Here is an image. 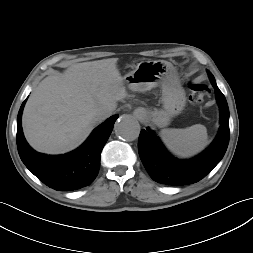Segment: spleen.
<instances>
[{"mask_svg": "<svg viewBox=\"0 0 253 253\" xmlns=\"http://www.w3.org/2000/svg\"><path fill=\"white\" fill-rule=\"evenodd\" d=\"M160 135L168 149L181 157L197 154L209 142L207 129L201 124H195L184 129H163Z\"/></svg>", "mask_w": 253, "mask_h": 253, "instance_id": "1", "label": "spleen"}]
</instances>
